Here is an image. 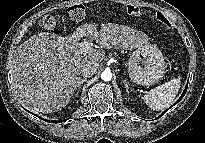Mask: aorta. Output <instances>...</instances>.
<instances>
[{
    "label": "aorta",
    "mask_w": 205,
    "mask_h": 143,
    "mask_svg": "<svg viewBox=\"0 0 205 143\" xmlns=\"http://www.w3.org/2000/svg\"><path fill=\"white\" fill-rule=\"evenodd\" d=\"M101 79L103 81H110L112 79V73L110 70H104L102 73H101Z\"/></svg>",
    "instance_id": "762f6f07"
}]
</instances>
